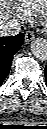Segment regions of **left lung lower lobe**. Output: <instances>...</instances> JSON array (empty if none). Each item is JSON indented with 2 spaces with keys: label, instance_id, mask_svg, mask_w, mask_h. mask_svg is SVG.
<instances>
[{
  "label": "left lung lower lobe",
  "instance_id": "0a47b994",
  "mask_svg": "<svg viewBox=\"0 0 47 129\" xmlns=\"http://www.w3.org/2000/svg\"><path fill=\"white\" fill-rule=\"evenodd\" d=\"M45 76H46V81H47V66L45 68Z\"/></svg>",
  "mask_w": 47,
  "mask_h": 129
}]
</instances>
